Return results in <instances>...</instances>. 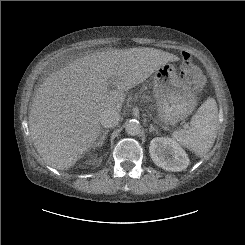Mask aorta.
<instances>
[{
  "label": "aorta",
  "instance_id": "1",
  "mask_svg": "<svg viewBox=\"0 0 245 245\" xmlns=\"http://www.w3.org/2000/svg\"><path fill=\"white\" fill-rule=\"evenodd\" d=\"M126 133L131 136H136L141 131V125L137 120H130L125 127Z\"/></svg>",
  "mask_w": 245,
  "mask_h": 245
}]
</instances>
